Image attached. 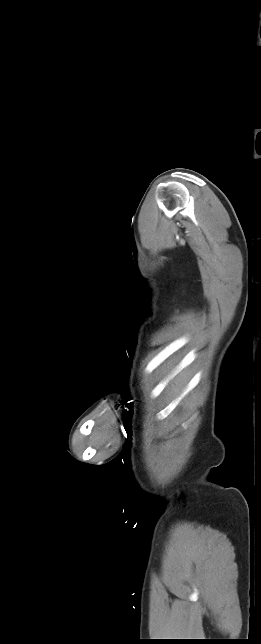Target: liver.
<instances>
[{"label":"liver","mask_w":261,"mask_h":644,"mask_svg":"<svg viewBox=\"0 0 261 644\" xmlns=\"http://www.w3.org/2000/svg\"><path fill=\"white\" fill-rule=\"evenodd\" d=\"M169 371L170 369H168V372ZM187 376H188L187 373L182 372L175 378L174 385L172 388V393H175V394L179 393V391L184 387V385L187 382Z\"/></svg>","instance_id":"1"}]
</instances>
